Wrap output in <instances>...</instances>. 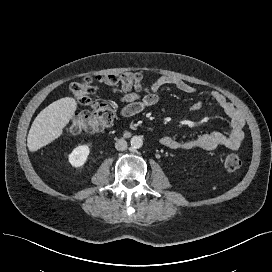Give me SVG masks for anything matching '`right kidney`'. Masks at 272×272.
Returning a JSON list of instances; mask_svg holds the SVG:
<instances>
[{
    "label": "right kidney",
    "instance_id": "right-kidney-1",
    "mask_svg": "<svg viewBox=\"0 0 272 272\" xmlns=\"http://www.w3.org/2000/svg\"><path fill=\"white\" fill-rule=\"evenodd\" d=\"M90 153V148L86 145H81L76 147L69 154V162L74 167H81L86 162L88 155Z\"/></svg>",
    "mask_w": 272,
    "mask_h": 272
}]
</instances>
